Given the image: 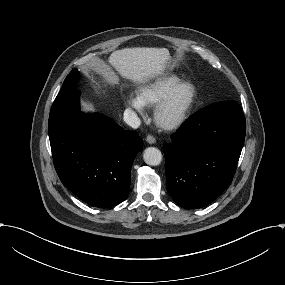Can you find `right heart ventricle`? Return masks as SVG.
Wrapping results in <instances>:
<instances>
[{
    "label": "right heart ventricle",
    "instance_id": "e07e8e85",
    "mask_svg": "<svg viewBox=\"0 0 285 285\" xmlns=\"http://www.w3.org/2000/svg\"><path fill=\"white\" fill-rule=\"evenodd\" d=\"M182 78L174 74H163L145 83L138 89L137 96L148 107H155Z\"/></svg>",
    "mask_w": 285,
    "mask_h": 285
}]
</instances>
